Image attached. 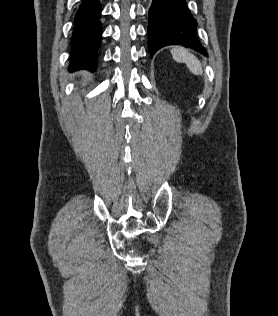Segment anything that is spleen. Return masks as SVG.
Segmentation results:
<instances>
[{"label": "spleen", "instance_id": "obj_1", "mask_svg": "<svg viewBox=\"0 0 278 316\" xmlns=\"http://www.w3.org/2000/svg\"><path fill=\"white\" fill-rule=\"evenodd\" d=\"M172 57L175 61L185 63L189 70L195 75L203 73L200 61L183 47H175L171 50Z\"/></svg>", "mask_w": 278, "mask_h": 316}]
</instances>
